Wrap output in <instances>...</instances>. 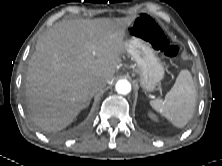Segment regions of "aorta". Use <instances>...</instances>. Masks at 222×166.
I'll return each mask as SVG.
<instances>
[{"mask_svg":"<svg viewBox=\"0 0 222 166\" xmlns=\"http://www.w3.org/2000/svg\"><path fill=\"white\" fill-rule=\"evenodd\" d=\"M115 88L119 94L126 95L131 91V84L127 80H119Z\"/></svg>","mask_w":222,"mask_h":166,"instance_id":"aorta-1","label":"aorta"}]
</instances>
